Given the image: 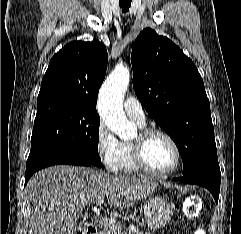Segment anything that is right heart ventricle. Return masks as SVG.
<instances>
[{"label":"right heart ventricle","mask_w":241,"mask_h":234,"mask_svg":"<svg viewBox=\"0 0 241 234\" xmlns=\"http://www.w3.org/2000/svg\"><path fill=\"white\" fill-rule=\"evenodd\" d=\"M118 171L125 174H136L140 171L133 158L132 142H121Z\"/></svg>","instance_id":"obj_1"}]
</instances>
